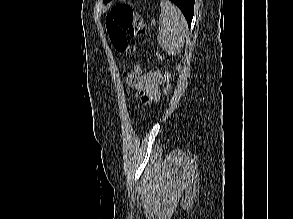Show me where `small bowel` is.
<instances>
[{
	"instance_id": "small-bowel-1",
	"label": "small bowel",
	"mask_w": 293,
	"mask_h": 219,
	"mask_svg": "<svg viewBox=\"0 0 293 219\" xmlns=\"http://www.w3.org/2000/svg\"><path fill=\"white\" fill-rule=\"evenodd\" d=\"M161 80V72L153 70L145 74H131L127 82L139 92L142 102L149 103L159 100Z\"/></svg>"
}]
</instances>
